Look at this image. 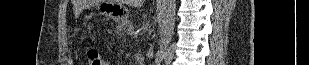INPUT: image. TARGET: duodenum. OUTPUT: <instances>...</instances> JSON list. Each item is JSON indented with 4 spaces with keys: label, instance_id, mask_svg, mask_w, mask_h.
Here are the masks:
<instances>
[{
    "label": "duodenum",
    "instance_id": "duodenum-1",
    "mask_svg": "<svg viewBox=\"0 0 309 65\" xmlns=\"http://www.w3.org/2000/svg\"><path fill=\"white\" fill-rule=\"evenodd\" d=\"M136 58H137L138 65H144V58L141 54H137Z\"/></svg>",
    "mask_w": 309,
    "mask_h": 65
}]
</instances>
